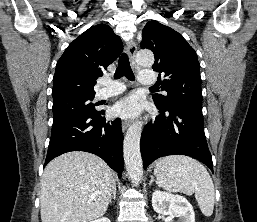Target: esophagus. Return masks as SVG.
<instances>
[{
  "mask_svg": "<svg viewBox=\"0 0 257 222\" xmlns=\"http://www.w3.org/2000/svg\"><path fill=\"white\" fill-rule=\"evenodd\" d=\"M126 50H127L128 55H129L132 67L134 69H137V65H136V62H135V54L137 52V46H136L135 42L128 41L127 44H126ZM129 125H130L129 121H123L122 131L125 132L127 130V128L129 127Z\"/></svg>",
  "mask_w": 257,
  "mask_h": 222,
  "instance_id": "esophagus-1",
  "label": "esophagus"
}]
</instances>
